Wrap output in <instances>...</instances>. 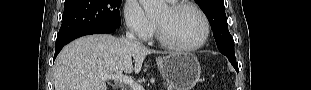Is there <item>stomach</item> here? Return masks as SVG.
Instances as JSON below:
<instances>
[{"label": "stomach", "mask_w": 311, "mask_h": 90, "mask_svg": "<svg viewBox=\"0 0 311 90\" xmlns=\"http://www.w3.org/2000/svg\"><path fill=\"white\" fill-rule=\"evenodd\" d=\"M156 63L162 77L175 90H191L200 79V63L191 53L172 52L157 58Z\"/></svg>", "instance_id": "1"}]
</instances>
